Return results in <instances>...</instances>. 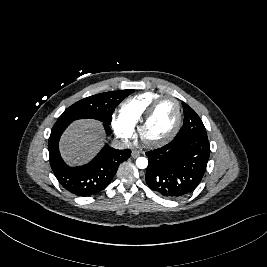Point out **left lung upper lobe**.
<instances>
[{
  "label": "left lung upper lobe",
  "instance_id": "5c2ea615",
  "mask_svg": "<svg viewBox=\"0 0 267 267\" xmlns=\"http://www.w3.org/2000/svg\"><path fill=\"white\" fill-rule=\"evenodd\" d=\"M182 106L185 115L184 123L174 139L176 140L190 136H201L207 138L206 129L197 113L184 102L182 103Z\"/></svg>",
  "mask_w": 267,
  "mask_h": 267
}]
</instances>
